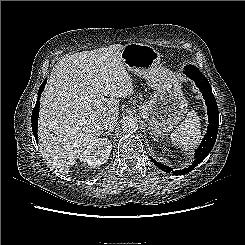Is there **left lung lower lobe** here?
<instances>
[{"label":"left lung lower lobe","instance_id":"1","mask_svg":"<svg viewBox=\"0 0 245 245\" xmlns=\"http://www.w3.org/2000/svg\"><path fill=\"white\" fill-rule=\"evenodd\" d=\"M184 74L192 79L199 90L201 91L203 98L205 100V104L207 106L208 111V130L206 135L204 136L203 141L200 143L198 149L195 152L194 160L191 165L187 168L173 171V169L169 166H166L154 159L152 161L154 164L159 167L161 170L167 173H173L174 175H184L192 171L199 163H201L205 157L212 150L214 143L216 141L217 132H218V107L215 100V97L212 93L211 86L205 76L199 71V69L193 65H187L185 67Z\"/></svg>","mask_w":245,"mask_h":245}]
</instances>
